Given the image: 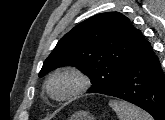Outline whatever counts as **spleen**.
<instances>
[{"label": "spleen", "mask_w": 165, "mask_h": 120, "mask_svg": "<svg viewBox=\"0 0 165 120\" xmlns=\"http://www.w3.org/2000/svg\"><path fill=\"white\" fill-rule=\"evenodd\" d=\"M109 106L116 112L119 120H153L147 112L125 101L110 100Z\"/></svg>", "instance_id": "3e777b00"}]
</instances>
